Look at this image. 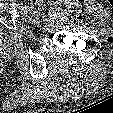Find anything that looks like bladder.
I'll return each instance as SVG.
<instances>
[{"label": "bladder", "instance_id": "bladder-1", "mask_svg": "<svg viewBox=\"0 0 113 113\" xmlns=\"http://www.w3.org/2000/svg\"><path fill=\"white\" fill-rule=\"evenodd\" d=\"M5 38H6V35L2 30V28H0V44L4 42Z\"/></svg>", "mask_w": 113, "mask_h": 113}]
</instances>
